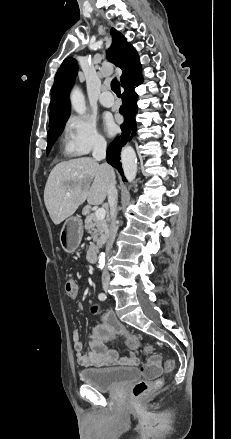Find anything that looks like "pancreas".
<instances>
[{"instance_id":"cf45deb5","label":"pancreas","mask_w":231,"mask_h":439,"mask_svg":"<svg viewBox=\"0 0 231 439\" xmlns=\"http://www.w3.org/2000/svg\"><path fill=\"white\" fill-rule=\"evenodd\" d=\"M85 230L92 236L93 242L90 245L91 249H98L108 238V223L107 220H97L95 214L86 212Z\"/></svg>"}]
</instances>
